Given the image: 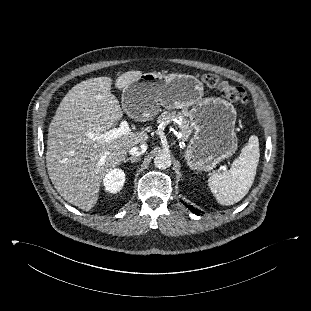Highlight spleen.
<instances>
[{
    "label": "spleen",
    "instance_id": "3e777b00",
    "mask_svg": "<svg viewBox=\"0 0 311 311\" xmlns=\"http://www.w3.org/2000/svg\"><path fill=\"white\" fill-rule=\"evenodd\" d=\"M259 157V141L254 135L249 138L229 170L209 177V188L220 204L233 205L249 192L256 175Z\"/></svg>",
    "mask_w": 311,
    "mask_h": 311
}]
</instances>
